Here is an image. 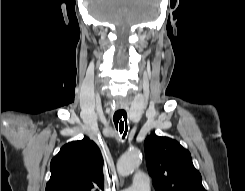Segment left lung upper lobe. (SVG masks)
<instances>
[{
  "mask_svg": "<svg viewBox=\"0 0 245 191\" xmlns=\"http://www.w3.org/2000/svg\"><path fill=\"white\" fill-rule=\"evenodd\" d=\"M144 149L156 191H206L190 152L179 142L153 134L145 139Z\"/></svg>",
  "mask_w": 245,
  "mask_h": 191,
  "instance_id": "1",
  "label": "left lung upper lobe"
}]
</instances>
